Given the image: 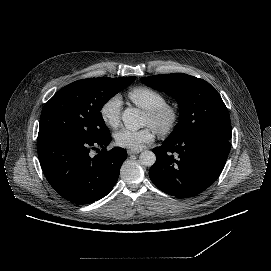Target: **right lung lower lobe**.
Wrapping results in <instances>:
<instances>
[{"mask_svg": "<svg viewBox=\"0 0 271 271\" xmlns=\"http://www.w3.org/2000/svg\"><path fill=\"white\" fill-rule=\"evenodd\" d=\"M110 133L96 140L69 134L38 137V157L44 175L54 190L76 204L92 203L106 196L116 184L125 149L107 151ZM102 149L93 158L91 150Z\"/></svg>", "mask_w": 271, "mask_h": 271, "instance_id": "right-lung-lower-lobe-1", "label": "right lung lower lobe"}]
</instances>
